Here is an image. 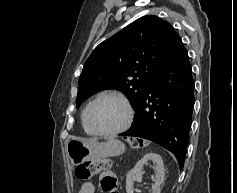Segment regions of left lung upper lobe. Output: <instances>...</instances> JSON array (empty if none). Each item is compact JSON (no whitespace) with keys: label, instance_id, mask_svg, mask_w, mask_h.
<instances>
[{"label":"left lung upper lobe","instance_id":"1","mask_svg":"<svg viewBox=\"0 0 237 193\" xmlns=\"http://www.w3.org/2000/svg\"><path fill=\"white\" fill-rule=\"evenodd\" d=\"M181 38L170 23L148 15L99 44L86 60L78 83L77 107L103 89L123 91L138 109L156 74Z\"/></svg>","mask_w":237,"mask_h":193}]
</instances>
